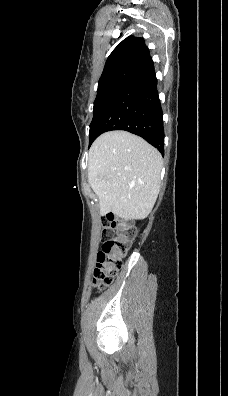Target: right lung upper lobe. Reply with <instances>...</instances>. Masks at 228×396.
I'll use <instances>...</instances> for the list:
<instances>
[{"label": "right lung upper lobe", "mask_w": 228, "mask_h": 396, "mask_svg": "<svg viewBox=\"0 0 228 396\" xmlns=\"http://www.w3.org/2000/svg\"><path fill=\"white\" fill-rule=\"evenodd\" d=\"M153 66L142 38L129 36L108 57L98 88L108 84L129 85Z\"/></svg>", "instance_id": "obj_1"}]
</instances>
